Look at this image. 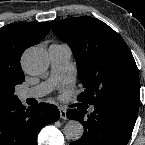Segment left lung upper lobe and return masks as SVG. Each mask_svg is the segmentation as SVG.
<instances>
[{"label":"left lung upper lobe","mask_w":145,"mask_h":145,"mask_svg":"<svg viewBox=\"0 0 145 145\" xmlns=\"http://www.w3.org/2000/svg\"><path fill=\"white\" fill-rule=\"evenodd\" d=\"M54 34L67 43L86 88L78 100L96 104L140 100V81L133 55L123 38L104 22L89 16L51 22Z\"/></svg>","instance_id":"left-lung-upper-lobe-1"}]
</instances>
